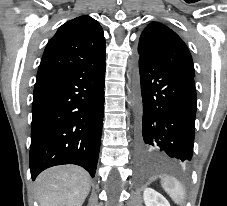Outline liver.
<instances>
[{"label": "liver", "mask_w": 227, "mask_h": 206, "mask_svg": "<svg viewBox=\"0 0 227 206\" xmlns=\"http://www.w3.org/2000/svg\"><path fill=\"white\" fill-rule=\"evenodd\" d=\"M90 183V175L81 167H52L38 176L36 197L40 206H82Z\"/></svg>", "instance_id": "liver-1"}]
</instances>
